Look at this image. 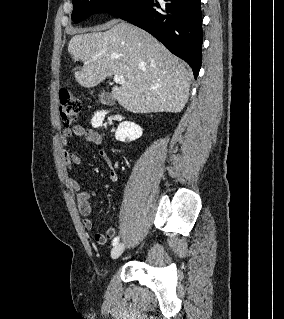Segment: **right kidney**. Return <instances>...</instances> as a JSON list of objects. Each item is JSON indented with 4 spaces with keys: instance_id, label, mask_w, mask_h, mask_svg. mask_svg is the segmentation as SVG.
<instances>
[{
    "instance_id": "ca27d5eb",
    "label": "right kidney",
    "mask_w": 284,
    "mask_h": 319,
    "mask_svg": "<svg viewBox=\"0 0 284 319\" xmlns=\"http://www.w3.org/2000/svg\"><path fill=\"white\" fill-rule=\"evenodd\" d=\"M105 112H100L94 115L92 118V126L99 127L102 125V121L104 120ZM142 135V129L139 125L135 124L134 122L124 121L119 124L116 132L115 138L118 141L125 142V141H134L140 138Z\"/></svg>"
}]
</instances>
